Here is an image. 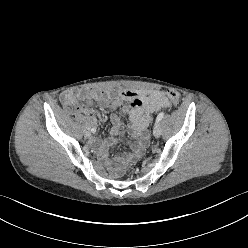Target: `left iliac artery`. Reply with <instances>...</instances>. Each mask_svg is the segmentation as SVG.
<instances>
[{"label": "left iliac artery", "instance_id": "left-iliac-artery-1", "mask_svg": "<svg viewBox=\"0 0 248 248\" xmlns=\"http://www.w3.org/2000/svg\"><path fill=\"white\" fill-rule=\"evenodd\" d=\"M164 117V112H160L156 118V123L160 122Z\"/></svg>", "mask_w": 248, "mask_h": 248}]
</instances>
